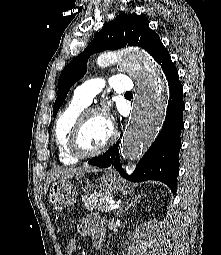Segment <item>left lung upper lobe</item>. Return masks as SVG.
<instances>
[{
  "instance_id": "1",
  "label": "left lung upper lobe",
  "mask_w": 221,
  "mask_h": 255,
  "mask_svg": "<svg viewBox=\"0 0 221 255\" xmlns=\"http://www.w3.org/2000/svg\"><path fill=\"white\" fill-rule=\"evenodd\" d=\"M125 46L142 47L154 59L164 47L156 32L149 28V20L145 16L136 13L118 15L115 20L105 24L86 49L61 72L58 80V95L53 107L54 116L63 104L71 86L86 73V64L91 55Z\"/></svg>"
}]
</instances>
